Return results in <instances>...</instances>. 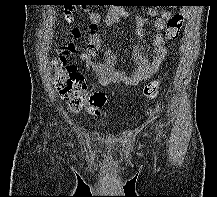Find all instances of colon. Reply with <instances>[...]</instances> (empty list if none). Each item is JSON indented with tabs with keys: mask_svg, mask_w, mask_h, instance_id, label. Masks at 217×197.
Segmentation results:
<instances>
[{
	"mask_svg": "<svg viewBox=\"0 0 217 197\" xmlns=\"http://www.w3.org/2000/svg\"><path fill=\"white\" fill-rule=\"evenodd\" d=\"M187 14L188 5L181 4L179 11L170 17L165 30L168 40H175L179 37ZM51 65L56 91L68 107L72 111H86L91 115H99L106 103V95L102 91H89L84 76L67 62L65 50H57ZM159 87V80L148 83L143 90L144 98L146 100L155 99Z\"/></svg>",
	"mask_w": 217,
	"mask_h": 197,
	"instance_id": "colon-1",
	"label": "colon"
}]
</instances>
